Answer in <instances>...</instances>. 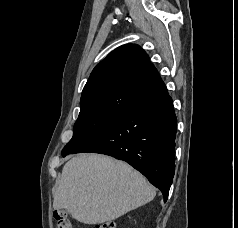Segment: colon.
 I'll list each match as a JSON object with an SVG mask.
<instances>
[{"label": "colon", "instance_id": "1", "mask_svg": "<svg viewBox=\"0 0 238 228\" xmlns=\"http://www.w3.org/2000/svg\"><path fill=\"white\" fill-rule=\"evenodd\" d=\"M54 219L56 228H73V223L63 210H56L54 212ZM91 228H116L114 222L106 221L93 225Z\"/></svg>", "mask_w": 238, "mask_h": 228}]
</instances>
